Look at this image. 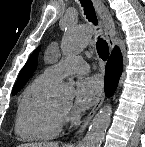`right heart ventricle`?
<instances>
[{
  "instance_id": "1",
  "label": "right heart ventricle",
  "mask_w": 145,
  "mask_h": 147,
  "mask_svg": "<svg viewBox=\"0 0 145 147\" xmlns=\"http://www.w3.org/2000/svg\"><path fill=\"white\" fill-rule=\"evenodd\" d=\"M54 82L41 74L24 90L15 118V132L20 138L44 141L59 134L62 112L49 98Z\"/></svg>"
}]
</instances>
